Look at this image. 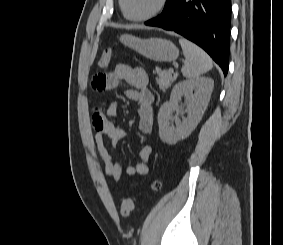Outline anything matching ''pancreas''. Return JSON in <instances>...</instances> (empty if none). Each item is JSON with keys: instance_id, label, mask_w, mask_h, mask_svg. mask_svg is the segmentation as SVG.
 Wrapping results in <instances>:
<instances>
[{"instance_id": "cf45deb5", "label": "pancreas", "mask_w": 283, "mask_h": 245, "mask_svg": "<svg viewBox=\"0 0 283 245\" xmlns=\"http://www.w3.org/2000/svg\"><path fill=\"white\" fill-rule=\"evenodd\" d=\"M155 73H157V84L159 85L160 89L163 91H166L171 86V82L173 81L172 73L169 71H161L156 70Z\"/></svg>"}]
</instances>
